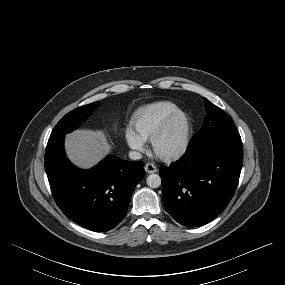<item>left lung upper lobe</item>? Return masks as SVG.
Masks as SVG:
<instances>
[{
	"label": "left lung upper lobe",
	"mask_w": 285,
	"mask_h": 285,
	"mask_svg": "<svg viewBox=\"0 0 285 285\" xmlns=\"http://www.w3.org/2000/svg\"><path fill=\"white\" fill-rule=\"evenodd\" d=\"M206 117L203 126L192 139L189 150L209 145L241 141V137L232 120L216 105L204 98Z\"/></svg>",
	"instance_id": "5c2ea615"
}]
</instances>
